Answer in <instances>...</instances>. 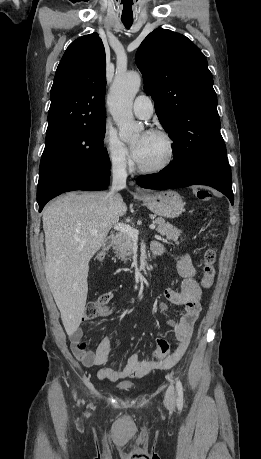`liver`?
<instances>
[{
    "mask_svg": "<svg viewBox=\"0 0 261 459\" xmlns=\"http://www.w3.org/2000/svg\"><path fill=\"white\" fill-rule=\"evenodd\" d=\"M126 211L123 199L111 202L107 192H74L58 197L43 212L46 279L69 336L84 315L89 261Z\"/></svg>",
    "mask_w": 261,
    "mask_h": 459,
    "instance_id": "liver-1",
    "label": "liver"
}]
</instances>
